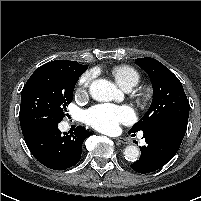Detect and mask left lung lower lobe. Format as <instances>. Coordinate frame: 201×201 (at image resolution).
Returning <instances> with one entry per match:
<instances>
[{
  "instance_id": "obj_1",
  "label": "left lung lower lobe",
  "mask_w": 201,
  "mask_h": 201,
  "mask_svg": "<svg viewBox=\"0 0 201 201\" xmlns=\"http://www.w3.org/2000/svg\"><path fill=\"white\" fill-rule=\"evenodd\" d=\"M188 120L166 119L144 129L146 145L141 156L130 167L138 173H150L168 163L177 153L186 133Z\"/></svg>"
}]
</instances>
